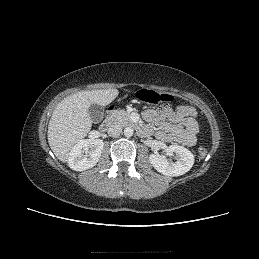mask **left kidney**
Here are the masks:
<instances>
[{
	"label": "left kidney",
	"mask_w": 259,
	"mask_h": 259,
	"mask_svg": "<svg viewBox=\"0 0 259 259\" xmlns=\"http://www.w3.org/2000/svg\"><path fill=\"white\" fill-rule=\"evenodd\" d=\"M167 153H176L177 161L168 160L165 156L150 154L149 160L153 167L166 176H181L188 172L194 164V155L183 146L170 145Z\"/></svg>",
	"instance_id": "left-kidney-1"
}]
</instances>
